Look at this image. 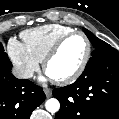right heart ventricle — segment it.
Wrapping results in <instances>:
<instances>
[{"mask_svg":"<svg viewBox=\"0 0 119 119\" xmlns=\"http://www.w3.org/2000/svg\"><path fill=\"white\" fill-rule=\"evenodd\" d=\"M74 31L73 28L61 24H48L26 30L21 33L29 52L42 62L52 46L64 35Z\"/></svg>","mask_w":119,"mask_h":119,"instance_id":"1","label":"right heart ventricle"}]
</instances>
